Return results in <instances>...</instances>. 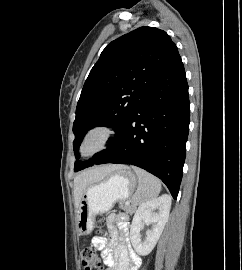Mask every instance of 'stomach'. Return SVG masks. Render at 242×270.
I'll return each instance as SVG.
<instances>
[{
    "mask_svg": "<svg viewBox=\"0 0 242 270\" xmlns=\"http://www.w3.org/2000/svg\"><path fill=\"white\" fill-rule=\"evenodd\" d=\"M135 186L136 176L125 166L113 171L104 180L88 186L76 212L79 234L91 233L96 215L109 211L116 201L129 198Z\"/></svg>",
    "mask_w": 242,
    "mask_h": 270,
    "instance_id": "stomach-1",
    "label": "stomach"
}]
</instances>
